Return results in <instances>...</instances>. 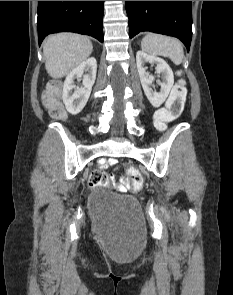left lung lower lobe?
I'll use <instances>...</instances> for the list:
<instances>
[{
  "mask_svg": "<svg viewBox=\"0 0 233 295\" xmlns=\"http://www.w3.org/2000/svg\"><path fill=\"white\" fill-rule=\"evenodd\" d=\"M129 37L150 31L180 39L189 51L192 38L191 1H126Z\"/></svg>",
  "mask_w": 233,
  "mask_h": 295,
  "instance_id": "1",
  "label": "left lung lower lobe"
}]
</instances>
